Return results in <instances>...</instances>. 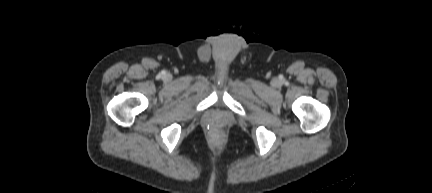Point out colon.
I'll return each mask as SVG.
<instances>
[{"label": "colon", "mask_w": 432, "mask_h": 193, "mask_svg": "<svg viewBox=\"0 0 432 193\" xmlns=\"http://www.w3.org/2000/svg\"><path fill=\"white\" fill-rule=\"evenodd\" d=\"M220 139H221L220 136H216V137L214 138V140H215L216 142L220 141Z\"/></svg>", "instance_id": "obj_1"}]
</instances>
